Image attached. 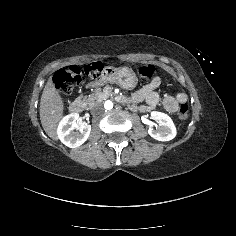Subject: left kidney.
I'll return each mask as SVG.
<instances>
[{
    "label": "left kidney",
    "instance_id": "obj_1",
    "mask_svg": "<svg viewBox=\"0 0 236 236\" xmlns=\"http://www.w3.org/2000/svg\"><path fill=\"white\" fill-rule=\"evenodd\" d=\"M151 118L158 122L156 129L149 126V135L158 141H170L176 136V127L172 119L165 113L152 111Z\"/></svg>",
    "mask_w": 236,
    "mask_h": 236
}]
</instances>
